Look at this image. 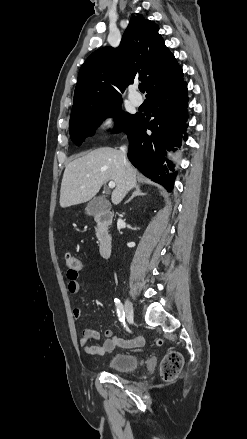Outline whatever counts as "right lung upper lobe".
Here are the masks:
<instances>
[{"instance_id":"obj_1","label":"right lung upper lobe","mask_w":247,"mask_h":439,"mask_svg":"<svg viewBox=\"0 0 247 439\" xmlns=\"http://www.w3.org/2000/svg\"><path fill=\"white\" fill-rule=\"evenodd\" d=\"M158 30L154 22L136 16L118 48L94 51L79 71L71 117L122 101L121 93L136 80L146 85L148 99L182 83V68Z\"/></svg>"}]
</instances>
